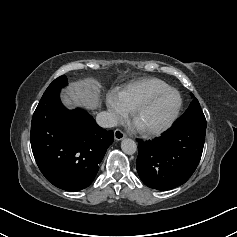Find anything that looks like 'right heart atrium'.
I'll use <instances>...</instances> for the list:
<instances>
[{
	"label": "right heart atrium",
	"instance_id": "1",
	"mask_svg": "<svg viewBox=\"0 0 237 237\" xmlns=\"http://www.w3.org/2000/svg\"><path fill=\"white\" fill-rule=\"evenodd\" d=\"M107 106L113 122L117 123L126 118L128 112L114 96L109 97Z\"/></svg>",
	"mask_w": 237,
	"mask_h": 237
}]
</instances>
